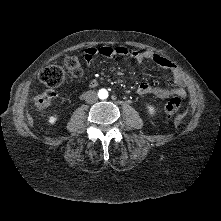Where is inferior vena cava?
<instances>
[{
    "mask_svg": "<svg viewBox=\"0 0 221 221\" xmlns=\"http://www.w3.org/2000/svg\"><path fill=\"white\" fill-rule=\"evenodd\" d=\"M84 99L87 103H95L97 100H98V96L96 94L95 91H87L85 94H84Z\"/></svg>",
    "mask_w": 221,
    "mask_h": 221,
    "instance_id": "obj_1",
    "label": "inferior vena cava"
}]
</instances>
